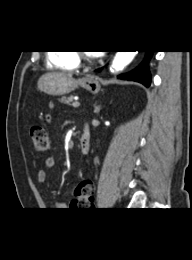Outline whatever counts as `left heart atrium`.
Returning a JSON list of instances; mask_svg holds the SVG:
<instances>
[{
	"instance_id": "1",
	"label": "left heart atrium",
	"mask_w": 192,
	"mask_h": 260,
	"mask_svg": "<svg viewBox=\"0 0 192 260\" xmlns=\"http://www.w3.org/2000/svg\"><path fill=\"white\" fill-rule=\"evenodd\" d=\"M93 54L94 55H100L101 53L100 52H94Z\"/></svg>"
}]
</instances>
